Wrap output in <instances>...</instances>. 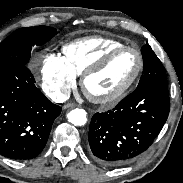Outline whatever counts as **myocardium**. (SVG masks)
<instances>
[{
	"label": "myocardium",
	"instance_id": "1",
	"mask_svg": "<svg viewBox=\"0 0 183 183\" xmlns=\"http://www.w3.org/2000/svg\"><path fill=\"white\" fill-rule=\"evenodd\" d=\"M123 51H132L138 57V61H139L138 67H137V70H136L135 74L133 75V77L129 80V82L123 88H121L120 90H118L117 92H115L112 95H109L106 97H98V96L90 94L86 90L87 80L92 75L104 70L108 66V64L111 62V60L117 54H119ZM143 68H144V57L138 48L132 47V46H127V45H122V46L112 48L111 50L106 52L98 61H96L94 64H92L82 73L81 80H80V86H81L82 92L93 103L102 104V105L115 104V103L119 102L120 100H122L129 93V91L132 89V87L135 85V83L139 79V77L143 71Z\"/></svg>",
	"mask_w": 183,
	"mask_h": 183
}]
</instances>
